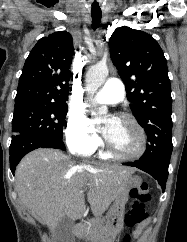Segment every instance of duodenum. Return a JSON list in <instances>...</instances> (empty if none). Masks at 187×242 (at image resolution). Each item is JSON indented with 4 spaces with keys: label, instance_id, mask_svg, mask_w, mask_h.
<instances>
[{
    "label": "duodenum",
    "instance_id": "1",
    "mask_svg": "<svg viewBox=\"0 0 187 242\" xmlns=\"http://www.w3.org/2000/svg\"><path fill=\"white\" fill-rule=\"evenodd\" d=\"M84 231V224L83 223H76L73 227V232L76 236H81Z\"/></svg>",
    "mask_w": 187,
    "mask_h": 242
}]
</instances>
